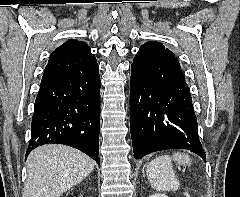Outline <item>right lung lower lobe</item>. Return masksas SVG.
<instances>
[{"label":"right lung lower lobe","mask_w":240,"mask_h":197,"mask_svg":"<svg viewBox=\"0 0 240 197\" xmlns=\"http://www.w3.org/2000/svg\"><path fill=\"white\" fill-rule=\"evenodd\" d=\"M100 77L98 66L42 77L27 155L44 144L79 149L99 165Z\"/></svg>","instance_id":"98d812e1"}]
</instances>
